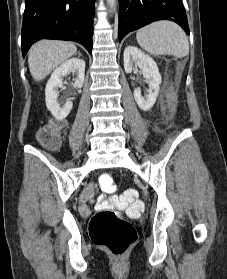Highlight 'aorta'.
Segmentation results:
<instances>
[{
	"label": "aorta",
	"instance_id": "1",
	"mask_svg": "<svg viewBox=\"0 0 227 279\" xmlns=\"http://www.w3.org/2000/svg\"><path fill=\"white\" fill-rule=\"evenodd\" d=\"M108 6L110 7V9L113 10V8L116 5V0H107Z\"/></svg>",
	"mask_w": 227,
	"mask_h": 279
}]
</instances>
